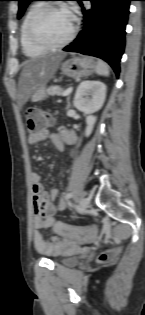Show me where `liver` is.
<instances>
[{
    "mask_svg": "<svg viewBox=\"0 0 145 315\" xmlns=\"http://www.w3.org/2000/svg\"><path fill=\"white\" fill-rule=\"evenodd\" d=\"M65 56V53H55L25 62L18 87L20 107L28 101L31 95L50 81Z\"/></svg>",
    "mask_w": 145,
    "mask_h": 315,
    "instance_id": "obj_1",
    "label": "liver"
}]
</instances>
